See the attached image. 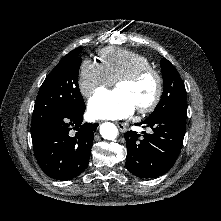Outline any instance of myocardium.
I'll use <instances>...</instances> for the list:
<instances>
[{"instance_id":"myocardium-1","label":"myocardium","mask_w":221,"mask_h":221,"mask_svg":"<svg viewBox=\"0 0 221 221\" xmlns=\"http://www.w3.org/2000/svg\"><path fill=\"white\" fill-rule=\"evenodd\" d=\"M148 75L153 76L156 80V93L147 105L137 108L140 114L152 112L160 103L164 91V81L161 73L153 67H142L120 77L116 81V85L122 82L135 83Z\"/></svg>"}]
</instances>
